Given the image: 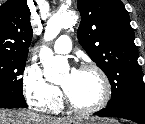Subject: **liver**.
<instances>
[{"mask_svg": "<svg viewBox=\"0 0 145 124\" xmlns=\"http://www.w3.org/2000/svg\"><path fill=\"white\" fill-rule=\"evenodd\" d=\"M78 118L41 117L23 110H0V124H72Z\"/></svg>", "mask_w": 145, "mask_h": 124, "instance_id": "1", "label": "liver"}]
</instances>
